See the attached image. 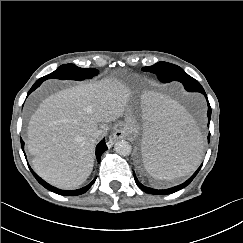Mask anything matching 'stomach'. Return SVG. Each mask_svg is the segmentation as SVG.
<instances>
[{
	"instance_id": "obj_1",
	"label": "stomach",
	"mask_w": 243,
	"mask_h": 243,
	"mask_svg": "<svg viewBox=\"0 0 243 243\" xmlns=\"http://www.w3.org/2000/svg\"><path fill=\"white\" fill-rule=\"evenodd\" d=\"M123 130L128 136L135 137L139 134V126L131 117H127L125 123L123 124Z\"/></svg>"
}]
</instances>
